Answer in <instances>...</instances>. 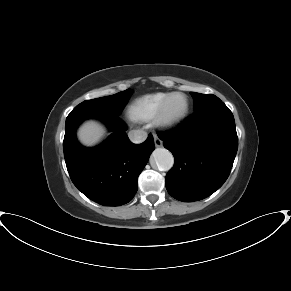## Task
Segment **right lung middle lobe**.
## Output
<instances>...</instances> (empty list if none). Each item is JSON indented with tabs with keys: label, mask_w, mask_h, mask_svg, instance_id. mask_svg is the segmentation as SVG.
Masks as SVG:
<instances>
[{
	"label": "right lung middle lobe",
	"mask_w": 291,
	"mask_h": 291,
	"mask_svg": "<svg viewBox=\"0 0 291 291\" xmlns=\"http://www.w3.org/2000/svg\"><path fill=\"white\" fill-rule=\"evenodd\" d=\"M131 92V89H127L111 96L85 100L77 105L73 110L106 112L119 116Z\"/></svg>",
	"instance_id": "obj_1"
}]
</instances>
